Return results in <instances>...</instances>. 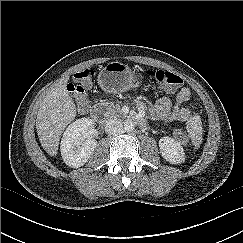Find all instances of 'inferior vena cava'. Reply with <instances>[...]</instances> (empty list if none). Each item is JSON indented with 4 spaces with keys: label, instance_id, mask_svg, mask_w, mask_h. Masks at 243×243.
I'll return each mask as SVG.
<instances>
[{
    "label": "inferior vena cava",
    "instance_id": "obj_1",
    "mask_svg": "<svg viewBox=\"0 0 243 243\" xmlns=\"http://www.w3.org/2000/svg\"><path fill=\"white\" fill-rule=\"evenodd\" d=\"M122 130H123V124L119 119L113 118V119H109L106 122L105 132L108 135H118L122 132Z\"/></svg>",
    "mask_w": 243,
    "mask_h": 243
}]
</instances>
